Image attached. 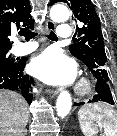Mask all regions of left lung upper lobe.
I'll return each instance as SVG.
<instances>
[{
    "label": "left lung upper lobe",
    "mask_w": 117,
    "mask_h": 136,
    "mask_svg": "<svg viewBox=\"0 0 117 136\" xmlns=\"http://www.w3.org/2000/svg\"><path fill=\"white\" fill-rule=\"evenodd\" d=\"M56 2H64L71 7L80 26H76L78 36L84 35L69 46L71 53L88 67L95 78L109 82L100 19L93 3L90 0H52L50 6Z\"/></svg>",
    "instance_id": "left-lung-upper-lobe-1"
}]
</instances>
